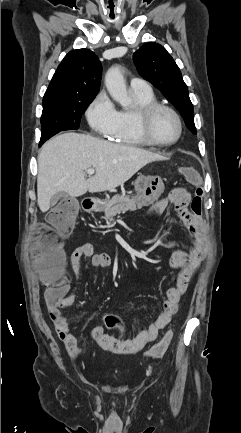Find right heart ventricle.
Here are the masks:
<instances>
[{
    "label": "right heart ventricle",
    "mask_w": 241,
    "mask_h": 433,
    "mask_svg": "<svg viewBox=\"0 0 241 433\" xmlns=\"http://www.w3.org/2000/svg\"><path fill=\"white\" fill-rule=\"evenodd\" d=\"M135 101L133 108H123L118 111V122L111 140L117 143L136 147H145L149 144L142 137L138 124L136 112L140 106L156 102L153 93H139L132 91Z\"/></svg>",
    "instance_id": "1"
}]
</instances>
